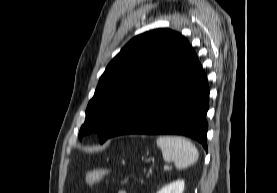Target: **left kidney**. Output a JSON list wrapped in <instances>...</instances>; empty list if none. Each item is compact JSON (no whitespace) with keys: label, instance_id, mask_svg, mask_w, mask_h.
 Wrapping results in <instances>:
<instances>
[{"label":"left kidney","instance_id":"left-kidney-1","mask_svg":"<svg viewBox=\"0 0 277 193\" xmlns=\"http://www.w3.org/2000/svg\"><path fill=\"white\" fill-rule=\"evenodd\" d=\"M184 180H177L166 186H164L157 193H183L184 191Z\"/></svg>","mask_w":277,"mask_h":193}]
</instances>
